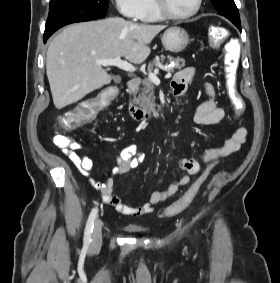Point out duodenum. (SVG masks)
Returning a JSON list of instances; mask_svg holds the SVG:
<instances>
[{
    "instance_id": "410a0bca",
    "label": "duodenum",
    "mask_w": 280,
    "mask_h": 283,
    "mask_svg": "<svg viewBox=\"0 0 280 283\" xmlns=\"http://www.w3.org/2000/svg\"><path fill=\"white\" fill-rule=\"evenodd\" d=\"M141 84V80L138 77L131 78L127 85V92L129 95V104L128 109L131 115L137 120V121H145L148 120L151 116L148 112L141 109L136 102L135 94Z\"/></svg>"
}]
</instances>
